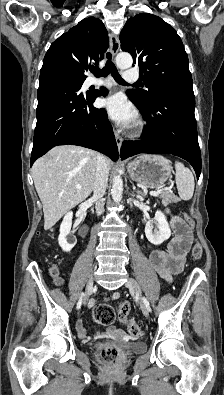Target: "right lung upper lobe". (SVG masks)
<instances>
[{"label":"right lung upper lobe","mask_w":224,"mask_h":395,"mask_svg":"<svg viewBox=\"0 0 224 395\" xmlns=\"http://www.w3.org/2000/svg\"><path fill=\"white\" fill-rule=\"evenodd\" d=\"M108 45L102 21L94 17L83 19L51 44L41 73L59 70L86 79L84 72L91 63L97 65L104 58Z\"/></svg>","instance_id":"1"}]
</instances>
